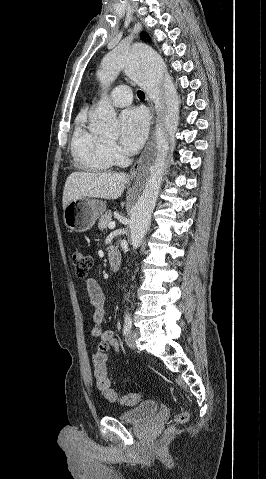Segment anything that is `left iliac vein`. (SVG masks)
<instances>
[{
    "label": "left iliac vein",
    "mask_w": 266,
    "mask_h": 479,
    "mask_svg": "<svg viewBox=\"0 0 266 479\" xmlns=\"http://www.w3.org/2000/svg\"><path fill=\"white\" fill-rule=\"evenodd\" d=\"M138 337V333L135 330H131L126 337V343L131 349L136 348V340Z\"/></svg>",
    "instance_id": "1"
}]
</instances>
